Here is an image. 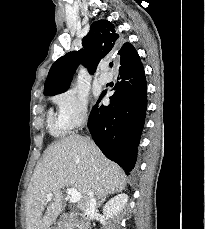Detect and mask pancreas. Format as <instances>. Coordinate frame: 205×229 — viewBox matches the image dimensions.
Masks as SVG:
<instances>
[{
  "label": "pancreas",
  "instance_id": "pancreas-1",
  "mask_svg": "<svg viewBox=\"0 0 205 229\" xmlns=\"http://www.w3.org/2000/svg\"><path fill=\"white\" fill-rule=\"evenodd\" d=\"M59 229H66L64 226H61Z\"/></svg>",
  "mask_w": 205,
  "mask_h": 229
}]
</instances>
